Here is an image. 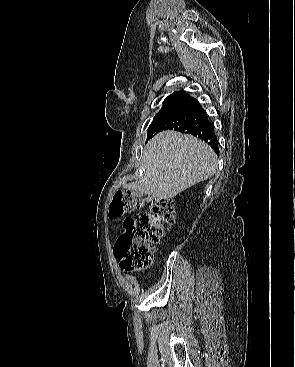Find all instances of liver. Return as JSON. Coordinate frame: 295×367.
<instances>
[{
  "label": "liver",
  "instance_id": "1",
  "mask_svg": "<svg viewBox=\"0 0 295 367\" xmlns=\"http://www.w3.org/2000/svg\"><path fill=\"white\" fill-rule=\"evenodd\" d=\"M143 160L144 176L128 188L158 199H171L217 170V156L210 146L171 130L148 142Z\"/></svg>",
  "mask_w": 295,
  "mask_h": 367
}]
</instances>
